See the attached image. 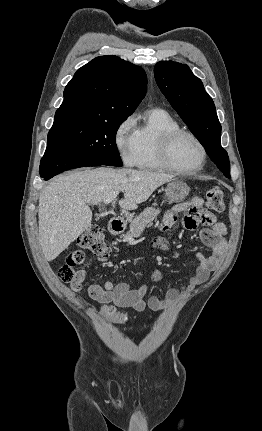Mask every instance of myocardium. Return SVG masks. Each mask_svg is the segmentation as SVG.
Instances as JSON below:
<instances>
[{
	"label": "myocardium",
	"mask_w": 262,
	"mask_h": 431,
	"mask_svg": "<svg viewBox=\"0 0 262 431\" xmlns=\"http://www.w3.org/2000/svg\"><path fill=\"white\" fill-rule=\"evenodd\" d=\"M183 135L188 136L193 141H195L196 144L199 146L200 151H201V156H202L201 157V163L197 168H195L194 170H191V171H187V170H184L181 167H179L173 161V158H172V145L178 137L183 136ZM159 158H160L162 165L167 170L176 172V173L183 175V176H194L204 168L206 161H207V150H206L205 145L201 141V139L199 137H197L194 133H192L191 131L185 130V129L177 128V129L165 131L161 135L160 144H159Z\"/></svg>",
	"instance_id": "f54148a6"
}]
</instances>
